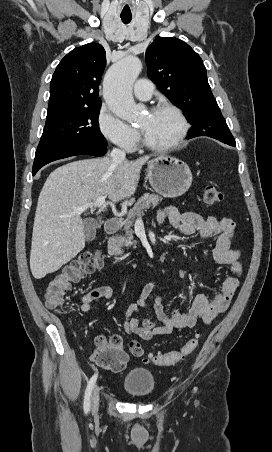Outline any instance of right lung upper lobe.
Here are the masks:
<instances>
[{"mask_svg":"<svg viewBox=\"0 0 272 452\" xmlns=\"http://www.w3.org/2000/svg\"><path fill=\"white\" fill-rule=\"evenodd\" d=\"M105 65V50L97 43L77 47L67 54L50 82L48 114L101 106L98 91Z\"/></svg>","mask_w":272,"mask_h":452,"instance_id":"obj_1","label":"right lung upper lobe"}]
</instances>
